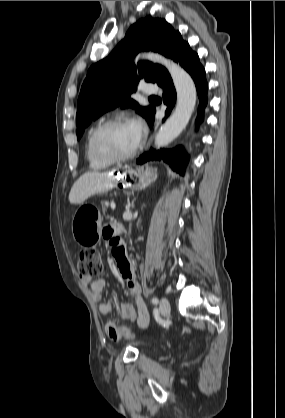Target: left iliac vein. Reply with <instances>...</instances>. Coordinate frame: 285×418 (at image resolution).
<instances>
[{
    "label": "left iliac vein",
    "mask_w": 285,
    "mask_h": 418,
    "mask_svg": "<svg viewBox=\"0 0 285 418\" xmlns=\"http://www.w3.org/2000/svg\"><path fill=\"white\" fill-rule=\"evenodd\" d=\"M159 309H160L161 314L164 317L167 316L170 313L171 308H170V303H169L167 298L163 297L160 300Z\"/></svg>",
    "instance_id": "4c4485c4"
}]
</instances>
